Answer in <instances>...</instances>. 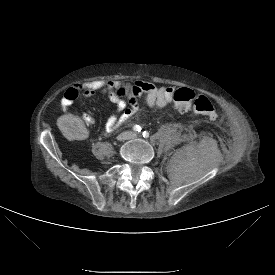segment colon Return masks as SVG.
Wrapping results in <instances>:
<instances>
[{"label": "colon", "mask_w": 275, "mask_h": 275, "mask_svg": "<svg viewBox=\"0 0 275 275\" xmlns=\"http://www.w3.org/2000/svg\"><path fill=\"white\" fill-rule=\"evenodd\" d=\"M141 90L133 88L131 91L132 97H138ZM119 95H127L126 90L121 89L118 91ZM174 102L176 107L181 112H187L193 110L194 112L207 116L210 120L217 118V108L211 99L201 93H196L189 88L178 89L174 93Z\"/></svg>", "instance_id": "colon-1"}]
</instances>
